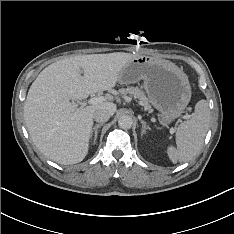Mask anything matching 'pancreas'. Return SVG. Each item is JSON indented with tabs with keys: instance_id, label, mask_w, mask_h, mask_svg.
<instances>
[{
	"instance_id": "pancreas-1",
	"label": "pancreas",
	"mask_w": 234,
	"mask_h": 234,
	"mask_svg": "<svg viewBox=\"0 0 234 234\" xmlns=\"http://www.w3.org/2000/svg\"><path fill=\"white\" fill-rule=\"evenodd\" d=\"M119 93L122 95L131 94L134 98L139 100V104L143 105L145 110H150L151 106L149 105L148 98L145 93L138 87H127L119 90Z\"/></svg>"
}]
</instances>
